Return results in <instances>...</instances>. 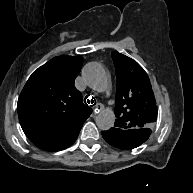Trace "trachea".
<instances>
[{
	"label": "trachea",
	"instance_id": "trachea-1",
	"mask_svg": "<svg viewBox=\"0 0 193 193\" xmlns=\"http://www.w3.org/2000/svg\"><path fill=\"white\" fill-rule=\"evenodd\" d=\"M88 96L89 95H87L86 97H85V99H84V102H85V104H93V105H90V106H94L95 104H96V100L94 99V98H92V99H88Z\"/></svg>",
	"mask_w": 193,
	"mask_h": 193
}]
</instances>
